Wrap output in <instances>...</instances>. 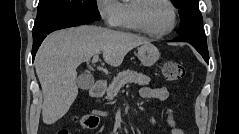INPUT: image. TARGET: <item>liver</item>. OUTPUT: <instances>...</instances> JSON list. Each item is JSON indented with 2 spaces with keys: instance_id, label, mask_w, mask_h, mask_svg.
<instances>
[{
  "instance_id": "6515ba94",
  "label": "liver",
  "mask_w": 239,
  "mask_h": 134,
  "mask_svg": "<svg viewBox=\"0 0 239 134\" xmlns=\"http://www.w3.org/2000/svg\"><path fill=\"white\" fill-rule=\"evenodd\" d=\"M149 39L122 31L83 25L50 34L35 57L42 93V118L54 124L70 109L78 95L77 67L102 52L104 61L114 67L126 54Z\"/></svg>"
}]
</instances>
